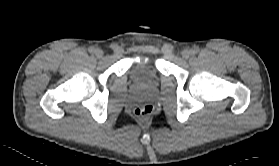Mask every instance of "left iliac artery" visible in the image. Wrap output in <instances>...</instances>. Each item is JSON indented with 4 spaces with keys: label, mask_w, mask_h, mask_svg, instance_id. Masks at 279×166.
Returning <instances> with one entry per match:
<instances>
[{
    "label": "left iliac artery",
    "mask_w": 279,
    "mask_h": 166,
    "mask_svg": "<svg viewBox=\"0 0 279 166\" xmlns=\"http://www.w3.org/2000/svg\"><path fill=\"white\" fill-rule=\"evenodd\" d=\"M191 52H192L193 54H196V53L198 52V50H197V49H193Z\"/></svg>",
    "instance_id": "44dca946"
}]
</instances>
